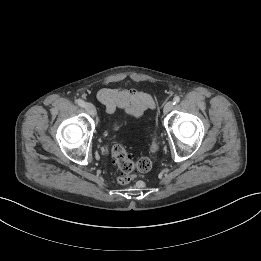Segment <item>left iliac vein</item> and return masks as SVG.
<instances>
[{"label":"left iliac vein","mask_w":261,"mask_h":261,"mask_svg":"<svg viewBox=\"0 0 261 261\" xmlns=\"http://www.w3.org/2000/svg\"><path fill=\"white\" fill-rule=\"evenodd\" d=\"M173 102L172 101H168L163 109L164 114H168L172 109H173Z\"/></svg>","instance_id":"obj_1"}]
</instances>
